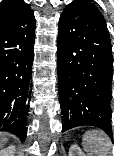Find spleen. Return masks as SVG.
<instances>
[{"label": "spleen", "instance_id": "obj_1", "mask_svg": "<svg viewBox=\"0 0 114 156\" xmlns=\"http://www.w3.org/2000/svg\"><path fill=\"white\" fill-rule=\"evenodd\" d=\"M82 146L87 156H111V140L101 130L86 131L82 138Z\"/></svg>", "mask_w": 114, "mask_h": 156}]
</instances>
